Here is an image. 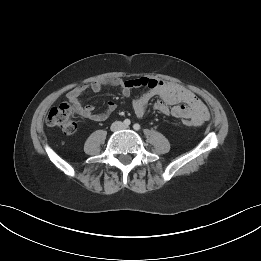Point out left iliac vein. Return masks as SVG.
Listing matches in <instances>:
<instances>
[{
	"instance_id": "left-iliac-vein-1",
	"label": "left iliac vein",
	"mask_w": 261,
	"mask_h": 261,
	"mask_svg": "<svg viewBox=\"0 0 261 261\" xmlns=\"http://www.w3.org/2000/svg\"><path fill=\"white\" fill-rule=\"evenodd\" d=\"M124 128H125V129H127V128H128V126H124Z\"/></svg>"
}]
</instances>
